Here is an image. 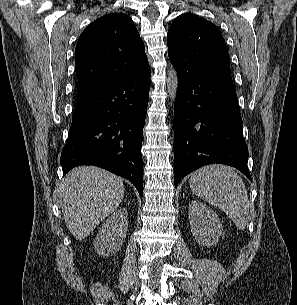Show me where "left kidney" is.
I'll list each match as a JSON object with an SVG mask.
<instances>
[{
  "label": "left kidney",
  "mask_w": 297,
  "mask_h": 305,
  "mask_svg": "<svg viewBox=\"0 0 297 305\" xmlns=\"http://www.w3.org/2000/svg\"><path fill=\"white\" fill-rule=\"evenodd\" d=\"M189 221L191 232L198 244L210 247L219 241L223 232L222 223L207 205L192 201L189 204Z\"/></svg>",
  "instance_id": "5707ae66"
}]
</instances>
